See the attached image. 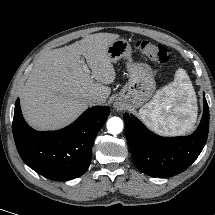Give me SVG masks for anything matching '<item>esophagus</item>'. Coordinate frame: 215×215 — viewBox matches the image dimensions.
I'll return each instance as SVG.
<instances>
[{"mask_svg": "<svg viewBox=\"0 0 215 215\" xmlns=\"http://www.w3.org/2000/svg\"><path fill=\"white\" fill-rule=\"evenodd\" d=\"M114 108L116 109V110H122L123 109V104L121 103V102H119V101H116L115 103H114Z\"/></svg>", "mask_w": 215, "mask_h": 215, "instance_id": "34e87169", "label": "esophagus"}]
</instances>
